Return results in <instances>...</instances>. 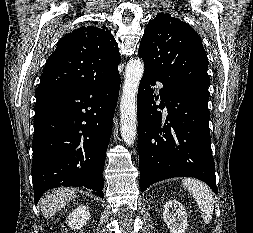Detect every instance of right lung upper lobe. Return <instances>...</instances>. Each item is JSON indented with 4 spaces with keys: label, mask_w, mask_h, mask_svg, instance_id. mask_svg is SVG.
<instances>
[{
    "label": "right lung upper lobe",
    "mask_w": 253,
    "mask_h": 233,
    "mask_svg": "<svg viewBox=\"0 0 253 233\" xmlns=\"http://www.w3.org/2000/svg\"><path fill=\"white\" fill-rule=\"evenodd\" d=\"M120 54L108 28L93 22L65 35L49 56L35 95L103 80L118 71Z\"/></svg>",
    "instance_id": "right-lung-upper-lobe-1"
}]
</instances>
